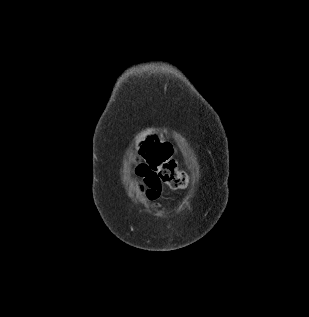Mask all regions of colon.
Segmentation results:
<instances>
[{"mask_svg":"<svg viewBox=\"0 0 309 317\" xmlns=\"http://www.w3.org/2000/svg\"><path fill=\"white\" fill-rule=\"evenodd\" d=\"M143 152L146 164L152 172L149 177L152 184L165 183L173 189H183L187 186V174L172 158L169 143L160 142L157 137H152L145 145Z\"/></svg>","mask_w":309,"mask_h":317,"instance_id":"obj_1","label":"colon"}]
</instances>
